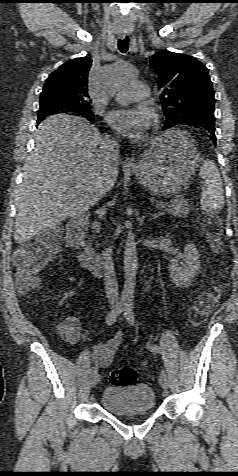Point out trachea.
Here are the masks:
<instances>
[{"label":"trachea","instance_id":"3493384b","mask_svg":"<svg viewBox=\"0 0 238 476\" xmlns=\"http://www.w3.org/2000/svg\"><path fill=\"white\" fill-rule=\"evenodd\" d=\"M118 48L120 52L125 53L129 48V37L126 36L124 39L118 40Z\"/></svg>","mask_w":238,"mask_h":476}]
</instances>
